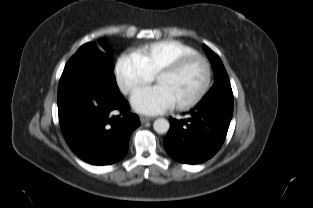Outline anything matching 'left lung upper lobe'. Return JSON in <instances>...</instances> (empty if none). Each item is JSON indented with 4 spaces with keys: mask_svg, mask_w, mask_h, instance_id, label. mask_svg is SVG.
<instances>
[{
    "mask_svg": "<svg viewBox=\"0 0 313 208\" xmlns=\"http://www.w3.org/2000/svg\"><path fill=\"white\" fill-rule=\"evenodd\" d=\"M203 48L206 52V55L208 56L214 76H215V82L212 86V88L209 90V92L206 94L212 95V94H217V93H232L229 77L227 75V72L223 66L222 61L220 60L219 56L215 54L211 49H209L206 45H203Z\"/></svg>",
    "mask_w": 313,
    "mask_h": 208,
    "instance_id": "obj_1",
    "label": "left lung upper lobe"
}]
</instances>
